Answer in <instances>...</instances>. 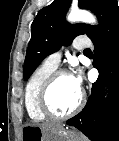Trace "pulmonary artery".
Listing matches in <instances>:
<instances>
[{
  "instance_id": "pulmonary-artery-1",
  "label": "pulmonary artery",
  "mask_w": 119,
  "mask_h": 141,
  "mask_svg": "<svg viewBox=\"0 0 119 141\" xmlns=\"http://www.w3.org/2000/svg\"><path fill=\"white\" fill-rule=\"evenodd\" d=\"M73 46L75 49H83L89 47L90 42L88 40H84V41L76 40ZM61 57H62L61 51L55 52L46 58L45 63L57 68L60 65Z\"/></svg>"
}]
</instances>
